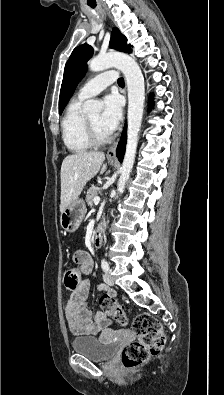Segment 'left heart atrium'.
<instances>
[{
  "instance_id": "left-heart-atrium-1",
  "label": "left heart atrium",
  "mask_w": 224,
  "mask_h": 395,
  "mask_svg": "<svg viewBox=\"0 0 224 395\" xmlns=\"http://www.w3.org/2000/svg\"><path fill=\"white\" fill-rule=\"evenodd\" d=\"M122 117V101L115 94L106 95L103 99V111L100 116L102 128L111 134L117 127Z\"/></svg>"
}]
</instances>
